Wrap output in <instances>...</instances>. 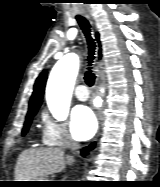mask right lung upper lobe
Wrapping results in <instances>:
<instances>
[{
  "label": "right lung upper lobe",
  "mask_w": 160,
  "mask_h": 187,
  "mask_svg": "<svg viewBox=\"0 0 160 187\" xmlns=\"http://www.w3.org/2000/svg\"><path fill=\"white\" fill-rule=\"evenodd\" d=\"M96 39L99 42V34H96ZM46 79H47V72L46 70H44L43 72H41V74L39 75V77L35 82L34 91L29 102L28 112L32 110H38V108L40 107L42 103V97H43Z\"/></svg>",
  "instance_id": "right-lung-upper-lobe-1"
}]
</instances>
